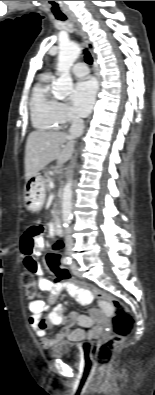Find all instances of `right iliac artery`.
<instances>
[{"label": "right iliac artery", "mask_w": 155, "mask_h": 395, "mask_svg": "<svg viewBox=\"0 0 155 395\" xmlns=\"http://www.w3.org/2000/svg\"><path fill=\"white\" fill-rule=\"evenodd\" d=\"M63 263L66 265H69L72 263V260L70 257H65V258H63Z\"/></svg>", "instance_id": "obj_1"}]
</instances>
